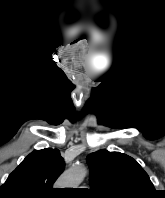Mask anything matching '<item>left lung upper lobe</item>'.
<instances>
[{
	"label": "left lung upper lobe",
	"mask_w": 165,
	"mask_h": 198,
	"mask_svg": "<svg viewBox=\"0 0 165 198\" xmlns=\"http://www.w3.org/2000/svg\"><path fill=\"white\" fill-rule=\"evenodd\" d=\"M91 192L97 198H153L147 173L132 157L105 149L87 156Z\"/></svg>",
	"instance_id": "1"
}]
</instances>
